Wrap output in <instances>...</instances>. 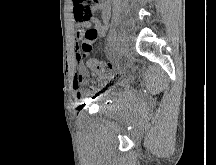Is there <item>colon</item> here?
Instances as JSON below:
<instances>
[{
    "label": "colon",
    "mask_w": 216,
    "mask_h": 165,
    "mask_svg": "<svg viewBox=\"0 0 216 165\" xmlns=\"http://www.w3.org/2000/svg\"><path fill=\"white\" fill-rule=\"evenodd\" d=\"M85 2L84 0H80ZM91 13H81L83 19H88ZM97 35L95 29H89L84 32V40L81 42L77 53V59L86 62L87 66L94 72L106 75L113 70V66L109 63L102 62L90 56L91 44L90 41Z\"/></svg>",
    "instance_id": "5ec220e1"
}]
</instances>
